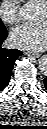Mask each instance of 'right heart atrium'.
I'll use <instances>...</instances> for the list:
<instances>
[{"label": "right heart atrium", "instance_id": "right-heart-atrium-1", "mask_svg": "<svg viewBox=\"0 0 47 129\" xmlns=\"http://www.w3.org/2000/svg\"><path fill=\"white\" fill-rule=\"evenodd\" d=\"M19 17V0H1L0 18L7 24H14Z\"/></svg>", "mask_w": 47, "mask_h": 129}]
</instances>
